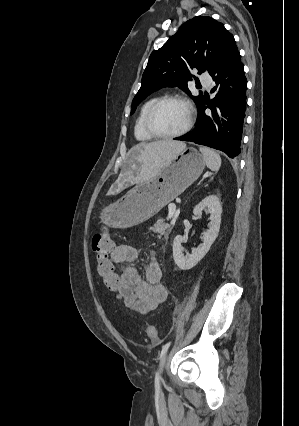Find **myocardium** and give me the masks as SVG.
<instances>
[{
  "instance_id": "obj_1",
  "label": "myocardium",
  "mask_w": 299,
  "mask_h": 426,
  "mask_svg": "<svg viewBox=\"0 0 299 426\" xmlns=\"http://www.w3.org/2000/svg\"><path fill=\"white\" fill-rule=\"evenodd\" d=\"M167 102H179L182 103L186 108H187V112H188V117H187V122L185 124V126L175 132V133H170V134H164V133H160L158 131H156L152 125V118L156 112V110L163 105L164 103ZM193 121H194V109L192 104L190 103V101L180 95H167V96H163L158 98L148 109L145 119H144V127L145 130L147 131V133L149 135H151L153 138H159V139H173V138H177L180 136H183L184 134H186L192 127L193 125Z\"/></svg>"
}]
</instances>
